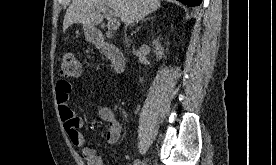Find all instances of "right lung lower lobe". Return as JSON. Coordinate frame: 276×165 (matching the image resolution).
<instances>
[{"mask_svg":"<svg viewBox=\"0 0 276 165\" xmlns=\"http://www.w3.org/2000/svg\"><path fill=\"white\" fill-rule=\"evenodd\" d=\"M178 1L191 7L198 6L202 2V0H178Z\"/></svg>","mask_w":276,"mask_h":165,"instance_id":"obj_1","label":"right lung lower lobe"}]
</instances>
